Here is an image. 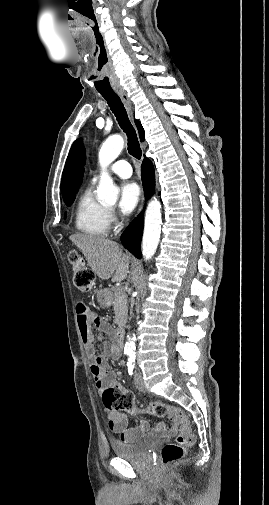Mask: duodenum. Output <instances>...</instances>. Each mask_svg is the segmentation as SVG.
Instances as JSON below:
<instances>
[{
    "label": "duodenum",
    "instance_id": "duodenum-1",
    "mask_svg": "<svg viewBox=\"0 0 269 505\" xmlns=\"http://www.w3.org/2000/svg\"><path fill=\"white\" fill-rule=\"evenodd\" d=\"M124 335H125V327L123 324L119 325L115 332H114V338L118 346L121 348L124 344Z\"/></svg>",
    "mask_w": 269,
    "mask_h": 505
}]
</instances>
